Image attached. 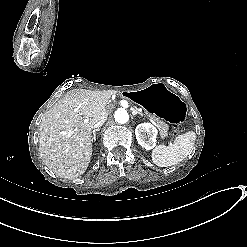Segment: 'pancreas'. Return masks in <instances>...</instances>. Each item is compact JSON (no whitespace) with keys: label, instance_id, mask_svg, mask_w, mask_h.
Returning a JSON list of instances; mask_svg holds the SVG:
<instances>
[{"label":"pancreas","instance_id":"pancreas-1","mask_svg":"<svg viewBox=\"0 0 247 247\" xmlns=\"http://www.w3.org/2000/svg\"><path fill=\"white\" fill-rule=\"evenodd\" d=\"M162 126H161V129H162V131H164V132H166L169 128H168V126L166 125V124H164L163 122H162Z\"/></svg>","mask_w":247,"mask_h":247}]
</instances>
